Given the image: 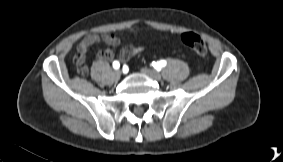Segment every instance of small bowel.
<instances>
[{"mask_svg":"<svg viewBox=\"0 0 283 162\" xmlns=\"http://www.w3.org/2000/svg\"><path fill=\"white\" fill-rule=\"evenodd\" d=\"M94 44H106L108 46H118L121 44V39L114 35V34H87L84 36V38L81 40L79 45L77 46L76 54L74 58H81L85 62V55L89 51L90 47ZM145 49L144 46L141 47H133V46H124L120 59L122 61H126L131 56L143 51ZM113 51L108 48L103 51H101L98 54V58L100 60H109L113 58ZM85 71H86V65H85ZM84 71V72H85Z\"/></svg>","mask_w":283,"mask_h":162,"instance_id":"c3829d8e","label":"small bowel"}]
</instances>
